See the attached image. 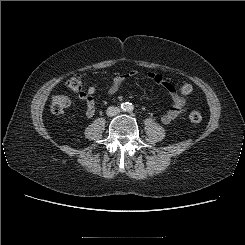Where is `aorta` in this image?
<instances>
[{
    "label": "aorta",
    "instance_id": "obj_1",
    "mask_svg": "<svg viewBox=\"0 0 245 245\" xmlns=\"http://www.w3.org/2000/svg\"><path fill=\"white\" fill-rule=\"evenodd\" d=\"M123 109L127 112H131L134 109V106L132 103H125Z\"/></svg>",
    "mask_w": 245,
    "mask_h": 245
}]
</instances>
